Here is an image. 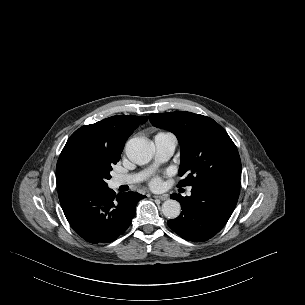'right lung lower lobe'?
Instances as JSON below:
<instances>
[{"instance_id": "obj_1", "label": "right lung lower lobe", "mask_w": 305, "mask_h": 305, "mask_svg": "<svg viewBox=\"0 0 305 305\" xmlns=\"http://www.w3.org/2000/svg\"><path fill=\"white\" fill-rule=\"evenodd\" d=\"M58 197L69 224L87 242L109 243L124 233L135 215L136 192H115L106 187L63 188Z\"/></svg>"}]
</instances>
